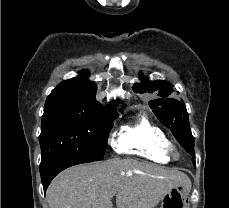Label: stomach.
Returning <instances> with one entry per match:
<instances>
[{
    "instance_id": "obj_1",
    "label": "stomach",
    "mask_w": 229,
    "mask_h": 208,
    "mask_svg": "<svg viewBox=\"0 0 229 208\" xmlns=\"http://www.w3.org/2000/svg\"><path fill=\"white\" fill-rule=\"evenodd\" d=\"M190 192L186 186H173L161 198L160 208H190Z\"/></svg>"
}]
</instances>
